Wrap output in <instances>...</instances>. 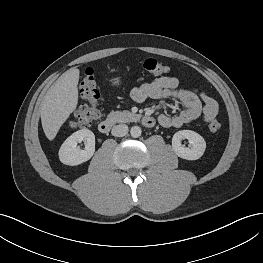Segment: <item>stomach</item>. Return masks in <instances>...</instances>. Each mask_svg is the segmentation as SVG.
Instances as JSON below:
<instances>
[{"instance_id": "1", "label": "stomach", "mask_w": 263, "mask_h": 263, "mask_svg": "<svg viewBox=\"0 0 263 263\" xmlns=\"http://www.w3.org/2000/svg\"><path fill=\"white\" fill-rule=\"evenodd\" d=\"M113 84L116 85V86L120 85L121 84L120 79L119 78L113 79Z\"/></svg>"}]
</instances>
